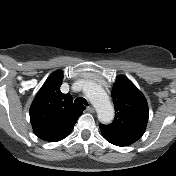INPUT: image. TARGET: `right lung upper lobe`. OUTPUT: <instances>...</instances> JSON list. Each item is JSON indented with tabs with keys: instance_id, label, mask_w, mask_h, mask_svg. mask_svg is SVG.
<instances>
[{
	"instance_id": "cb5924a9",
	"label": "right lung upper lobe",
	"mask_w": 176,
	"mask_h": 176,
	"mask_svg": "<svg viewBox=\"0 0 176 176\" xmlns=\"http://www.w3.org/2000/svg\"><path fill=\"white\" fill-rule=\"evenodd\" d=\"M62 79V71L52 73L30 107L34 133L49 142L60 141L69 135L84 110V106L73 104L70 94L61 93Z\"/></svg>"
}]
</instances>
